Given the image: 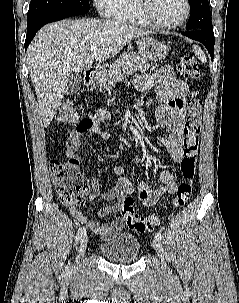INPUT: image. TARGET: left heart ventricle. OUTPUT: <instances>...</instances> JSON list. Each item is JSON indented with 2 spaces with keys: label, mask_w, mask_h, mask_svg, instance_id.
<instances>
[{
  "label": "left heart ventricle",
  "mask_w": 239,
  "mask_h": 303,
  "mask_svg": "<svg viewBox=\"0 0 239 303\" xmlns=\"http://www.w3.org/2000/svg\"><path fill=\"white\" fill-rule=\"evenodd\" d=\"M185 14L183 0H154L152 15L163 24L178 22Z\"/></svg>",
  "instance_id": "1"
}]
</instances>
